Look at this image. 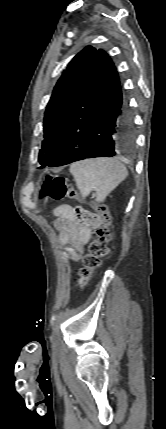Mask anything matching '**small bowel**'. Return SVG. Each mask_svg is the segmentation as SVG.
<instances>
[{"instance_id": "small-bowel-1", "label": "small bowel", "mask_w": 166, "mask_h": 429, "mask_svg": "<svg viewBox=\"0 0 166 429\" xmlns=\"http://www.w3.org/2000/svg\"><path fill=\"white\" fill-rule=\"evenodd\" d=\"M54 215L59 242L66 246L65 256L73 261L81 260L91 239L92 229L100 225L98 215L70 205L56 207Z\"/></svg>"}]
</instances>
